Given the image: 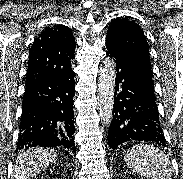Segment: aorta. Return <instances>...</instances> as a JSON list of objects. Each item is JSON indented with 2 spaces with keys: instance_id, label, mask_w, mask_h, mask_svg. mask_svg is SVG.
<instances>
[{
  "instance_id": "1",
  "label": "aorta",
  "mask_w": 183,
  "mask_h": 179,
  "mask_svg": "<svg viewBox=\"0 0 183 179\" xmlns=\"http://www.w3.org/2000/svg\"><path fill=\"white\" fill-rule=\"evenodd\" d=\"M115 76L114 61L106 58L100 67L98 84L99 115L105 126L110 125L113 117Z\"/></svg>"
}]
</instances>
